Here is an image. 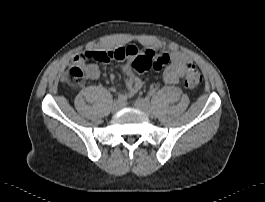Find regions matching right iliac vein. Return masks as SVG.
Listing matches in <instances>:
<instances>
[{"instance_id": "right-iliac-vein-1", "label": "right iliac vein", "mask_w": 265, "mask_h": 202, "mask_svg": "<svg viewBox=\"0 0 265 202\" xmlns=\"http://www.w3.org/2000/svg\"><path fill=\"white\" fill-rule=\"evenodd\" d=\"M120 108V103L118 101H114L112 106H111V110L113 113L117 112Z\"/></svg>"}]
</instances>
